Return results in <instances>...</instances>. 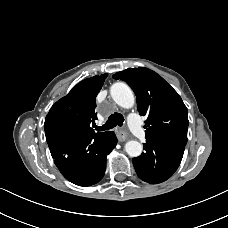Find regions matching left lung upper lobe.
<instances>
[{
	"instance_id": "5c2ea615",
	"label": "left lung upper lobe",
	"mask_w": 228,
	"mask_h": 228,
	"mask_svg": "<svg viewBox=\"0 0 228 228\" xmlns=\"http://www.w3.org/2000/svg\"><path fill=\"white\" fill-rule=\"evenodd\" d=\"M135 92L137 109L145 115L146 138H164L183 146L187 143V107L178 93L156 72L140 67L113 75Z\"/></svg>"
}]
</instances>
